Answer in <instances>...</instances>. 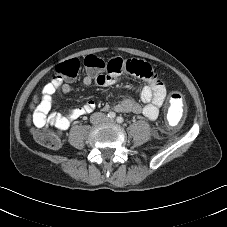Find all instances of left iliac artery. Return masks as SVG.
Masks as SVG:
<instances>
[{"instance_id":"1","label":"left iliac artery","mask_w":227,"mask_h":227,"mask_svg":"<svg viewBox=\"0 0 227 227\" xmlns=\"http://www.w3.org/2000/svg\"><path fill=\"white\" fill-rule=\"evenodd\" d=\"M116 121H117V123H123V122H124V119H123V117L118 116V117L116 118Z\"/></svg>"}]
</instances>
